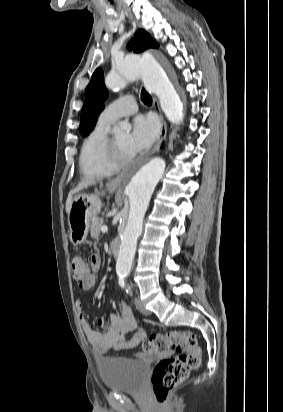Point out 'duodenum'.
<instances>
[{"label":"duodenum","mask_w":283,"mask_h":412,"mask_svg":"<svg viewBox=\"0 0 283 412\" xmlns=\"http://www.w3.org/2000/svg\"><path fill=\"white\" fill-rule=\"evenodd\" d=\"M121 244L119 241H114L111 245V252L114 257H118L120 254Z\"/></svg>","instance_id":"duodenum-1"}]
</instances>
